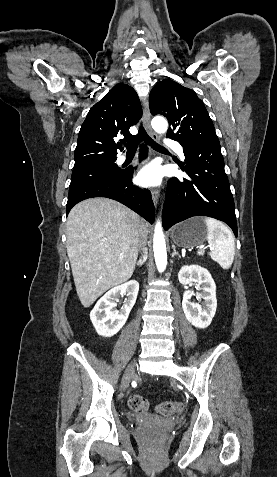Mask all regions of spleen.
<instances>
[{
    "label": "spleen",
    "instance_id": "1",
    "mask_svg": "<svg viewBox=\"0 0 277 477\" xmlns=\"http://www.w3.org/2000/svg\"><path fill=\"white\" fill-rule=\"evenodd\" d=\"M204 222L207 226V240L211 247V258L224 270H228L234 260L235 242L230 229L222 222L206 217ZM203 255L204 251H198Z\"/></svg>",
    "mask_w": 277,
    "mask_h": 477
}]
</instances>
